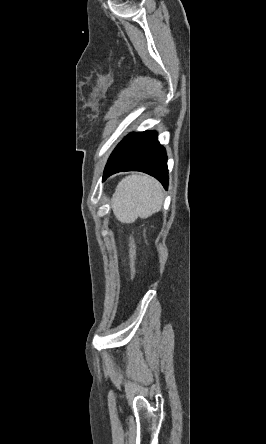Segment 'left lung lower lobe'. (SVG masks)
Returning a JSON list of instances; mask_svg holds the SVG:
<instances>
[{"instance_id":"1","label":"left lung lower lobe","mask_w":266,"mask_h":444,"mask_svg":"<svg viewBox=\"0 0 266 444\" xmlns=\"http://www.w3.org/2000/svg\"><path fill=\"white\" fill-rule=\"evenodd\" d=\"M121 171H141L158 179L168 188L167 156L157 140V133L145 131L127 135L112 152L103 181Z\"/></svg>"}]
</instances>
